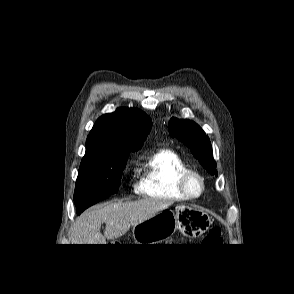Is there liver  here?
<instances>
[{"mask_svg": "<svg viewBox=\"0 0 294 294\" xmlns=\"http://www.w3.org/2000/svg\"><path fill=\"white\" fill-rule=\"evenodd\" d=\"M169 201L145 198L139 201L114 202L83 212L71 226L72 244H106V239H117L158 212L167 209ZM105 223L104 235L101 224Z\"/></svg>", "mask_w": 294, "mask_h": 294, "instance_id": "obj_1", "label": "liver"}]
</instances>
